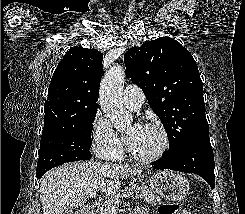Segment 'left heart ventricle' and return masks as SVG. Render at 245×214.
<instances>
[{"label":"left heart ventricle","mask_w":245,"mask_h":214,"mask_svg":"<svg viewBox=\"0 0 245 214\" xmlns=\"http://www.w3.org/2000/svg\"><path fill=\"white\" fill-rule=\"evenodd\" d=\"M133 125H128L124 129L126 136L132 131ZM162 143L160 133L154 129L139 126L132 140L127 144L129 149L139 155H151L155 153Z\"/></svg>","instance_id":"b2bd125f"}]
</instances>
